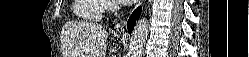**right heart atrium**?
<instances>
[{
  "label": "right heart atrium",
  "instance_id": "right-heart-atrium-1",
  "mask_svg": "<svg viewBox=\"0 0 249 57\" xmlns=\"http://www.w3.org/2000/svg\"><path fill=\"white\" fill-rule=\"evenodd\" d=\"M103 2H104V10L107 12L113 11L116 8V4L112 0H107V1H103Z\"/></svg>",
  "mask_w": 249,
  "mask_h": 57
}]
</instances>
